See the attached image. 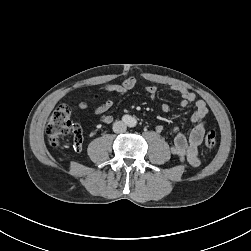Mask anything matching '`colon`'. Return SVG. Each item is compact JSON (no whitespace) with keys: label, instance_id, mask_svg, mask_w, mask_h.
Returning a JSON list of instances; mask_svg holds the SVG:
<instances>
[{"label":"colon","instance_id":"5ec220e1","mask_svg":"<svg viewBox=\"0 0 251 251\" xmlns=\"http://www.w3.org/2000/svg\"><path fill=\"white\" fill-rule=\"evenodd\" d=\"M46 132L49 143L53 147L59 146L61 138L67 134H73L75 145L82 143V131L80 127L72 121L71 110L65 104L55 108L50 116ZM204 142L208 148H214L217 143L216 132L213 130L207 132Z\"/></svg>","mask_w":251,"mask_h":251}]
</instances>
